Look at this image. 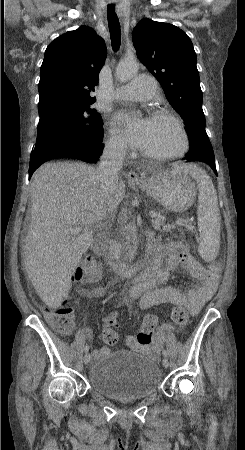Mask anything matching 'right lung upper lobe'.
I'll return each mask as SVG.
<instances>
[{
  "label": "right lung upper lobe",
  "instance_id": "right-lung-upper-lobe-1",
  "mask_svg": "<svg viewBox=\"0 0 245 450\" xmlns=\"http://www.w3.org/2000/svg\"><path fill=\"white\" fill-rule=\"evenodd\" d=\"M106 58L102 38L86 26L69 31L47 47L40 70L38 109L56 103L91 105L90 95Z\"/></svg>",
  "mask_w": 245,
  "mask_h": 450
}]
</instances>
